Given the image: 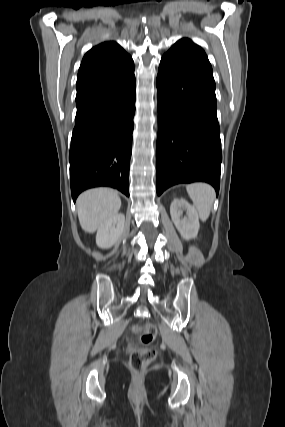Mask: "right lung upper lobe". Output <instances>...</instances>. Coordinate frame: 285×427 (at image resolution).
<instances>
[{"mask_svg":"<svg viewBox=\"0 0 285 427\" xmlns=\"http://www.w3.org/2000/svg\"><path fill=\"white\" fill-rule=\"evenodd\" d=\"M134 70L131 56L114 41L101 43L89 50L77 76V95L113 82Z\"/></svg>","mask_w":285,"mask_h":427,"instance_id":"right-lung-upper-lobe-1","label":"right lung upper lobe"}]
</instances>
